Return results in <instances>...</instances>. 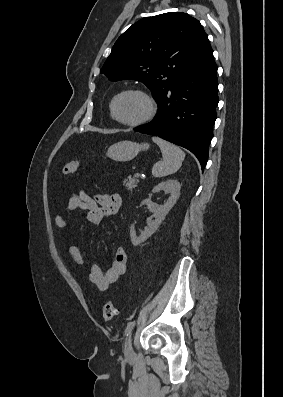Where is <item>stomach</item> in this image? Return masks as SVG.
<instances>
[{"instance_id": "1", "label": "stomach", "mask_w": 283, "mask_h": 397, "mask_svg": "<svg viewBox=\"0 0 283 397\" xmlns=\"http://www.w3.org/2000/svg\"><path fill=\"white\" fill-rule=\"evenodd\" d=\"M149 149L148 143H136L132 141H120L112 144L107 150V157L115 161H130L141 151Z\"/></svg>"}]
</instances>
